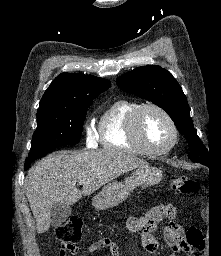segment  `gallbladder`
I'll return each instance as SVG.
<instances>
[{
	"mask_svg": "<svg viewBox=\"0 0 221 256\" xmlns=\"http://www.w3.org/2000/svg\"><path fill=\"white\" fill-rule=\"evenodd\" d=\"M71 215V207L67 204L55 203L51 208V224L61 226Z\"/></svg>",
	"mask_w": 221,
	"mask_h": 256,
	"instance_id": "1",
	"label": "gallbladder"
}]
</instances>
